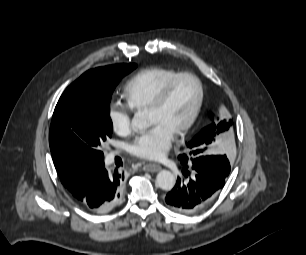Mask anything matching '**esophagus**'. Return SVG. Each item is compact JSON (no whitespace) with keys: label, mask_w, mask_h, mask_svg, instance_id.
Wrapping results in <instances>:
<instances>
[{"label":"esophagus","mask_w":306,"mask_h":255,"mask_svg":"<svg viewBox=\"0 0 306 255\" xmlns=\"http://www.w3.org/2000/svg\"><path fill=\"white\" fill-rule=\"evenodd\" d=\"M143 170L146 172L155 173L161 170V166L158 164L149 163L143 166Z\"/></svg>","instance_id":"34e87169"}]
</instances>
